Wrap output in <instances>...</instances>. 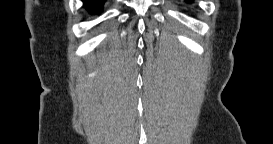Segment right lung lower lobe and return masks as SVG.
<instances>
[{"label": "right lung lower lobe", "mask_w": 273, "mask_h": 144, "mask_svg": "<svg viewBox=\"0 0 273 144\" xmlns=\"http://www.w3.org/2000/svg\"><path fill=\"white\" fill-rule=\"evenodd\" d=\"M83 2L89 12L99 14L105 0H83Z\"/></svg>", "instance_id": "obj_1"}]
</instances>
